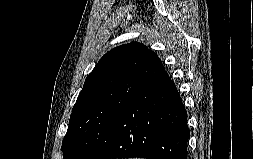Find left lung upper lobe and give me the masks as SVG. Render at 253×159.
<instances>
[{"label": "left lung upper lobe", "mask_w": 253, "mask_h": 159, "mask_svg": "<svg viewBox=\"0 0 253 159\" xmlns=\"http://www.w3.org/2000/svg\"><path fill=\"white\" fill-rule=\"evenodd\" d=\"M165 68L147 47L131 42L107 52L85 80L63 139V159H93L122 110Z\"/></svg>", "instance_id": "5c2ea615"}]
</instances>
